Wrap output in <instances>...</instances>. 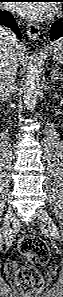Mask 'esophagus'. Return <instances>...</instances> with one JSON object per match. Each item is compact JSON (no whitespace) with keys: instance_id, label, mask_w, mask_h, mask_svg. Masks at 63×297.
I'll list each match as a JSON object with an SVG mask.
<instances>
[{"instance_id":"esophagus-1","label":"esophagus","mask_w":63,"mask_h":297,"mask_svg":"<svg viewBox=\"0 0 63 297\" xmlns=\"http://www.w3.org/2000/svg\"><path fill=\"white\" fill-rule=\"evenodd\" d=\"M27 35L30 39L36 40L40 36V29L33 23L27 24Z\"/></svg>"}]
</instances>
